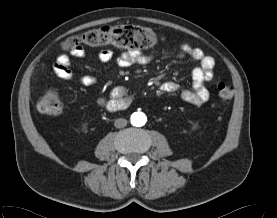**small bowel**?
Listing matches in <instances>:
<instances>
[{"instance_id":"1","label":"small bowel","mask_w":277,"mask_h":218,"mask_svg":"<svg viewBox=\"0 0 277 218\" xmlns=\"http://www.w3.org/2000/svg\"><path fill=\"white\" fill-rule=\"evenodd\" d=\"M179 48L182 56H187L200 63V65L192 71V89L183 91L181 93V98L185 102L200 106L209 99V91L205 87V83L211 80L214 75L215 61L201 49L192 47L186 42L179 43ZM71 56L81 59L86 56V52L82 47H78L71 51ZM113 56L111 50L104 49L97 53L96 60L100 63H107L113 59ZM151 61V56L133 51L123 52L116 58V63L121 68L130 67L132 65H145ZM71 65V57L67 54H61L53 64V71L62 79H72L74 78V72ZM79 81L82 85L91 87L97 84L98 79L92 75H83L79 78ZM178 89L179 85L172 81L164 82L161 85V90L163 92H175ZM112 94L115 97H122L126 94V89L117 86L113 89Z\"/></svg>"}]
</instances>
